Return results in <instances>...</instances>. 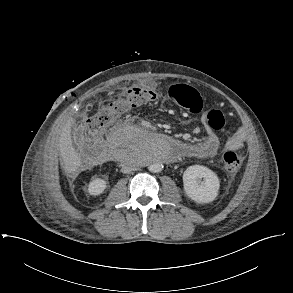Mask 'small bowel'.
I'll return each instance as SVG.
<instances>
[{
    "label": "small bowel",
    "mask_w": 293,
    "mask_h": 293,
    "mask_svg": "<svg viewBox=\"0 0 293 293\" xmlns=\"http://www.w3.org/2000/svg\"><path fill=\"white\" fill-rule=\"evenodd\" d=\"M205 123V118H203ZM245 142V134L238 130L233 133L223 145V150H238ZM189 149L182 153V156L191 158H210L215 156L220 149V141L218 136L207 128L205 138L203 141L196 144H188Z\"/></svg>",
    "instance_id": "obj_1"
}]
</instances>
